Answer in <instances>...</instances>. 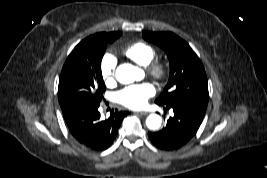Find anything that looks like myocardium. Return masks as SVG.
Here are the masks:
<instances>
[{
  "instance_id": "1",
  "label": "myocardium",
  "mask_w": 267,
  "mask_h": 178,
  "mask_svg": "<svg viewBox=\"0 0 267 178\" xmlns=\"http://www.w3.org/2000/svg\"><path fill=\"white\" fill-rule=\"evenodd\" d=\"M145 68L148 74L158 81L165 79L168 73L167 63L159 58H153Z\"/></svg>"
}]
</instances>
